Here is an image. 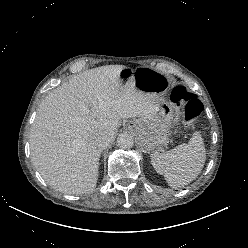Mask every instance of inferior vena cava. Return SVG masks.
Listing matches in <instances>:
<instances>
[{
    "instance_id": "obj_1",
    "label": "inferior vena cava",
    "mask_w": 248,
    "mask_h": 248,
    "mask_svg": "<svg viewBox=\"0 0 248 248\" xmlns=\"http://www.w3.org/2000/svg\"><path fill=\"white\" fill-rule=\"evenodd\" d=\"M110 141H111V137L109 135L101 134L98 137H96L93 142L98 147L104 149L109 145Z\"/></svg>"
}]
</instances>
